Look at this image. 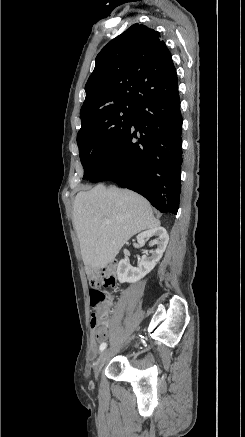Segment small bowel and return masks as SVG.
Returning <instances> with one entry per match:
<instances>
[{"mask_svg": "<svg viewBox=\"0 0 245 437\" xmlns=\"http://www.w3.org/2000/svg\"><path fill=\"white\" fill-rule=\"evenodd\" d=\"M93 327H94V324H93V322H92V320H91V328H92V330H93ZM107 335H108V331H107V330H106V335H105L104 337H102V338L97 339V338H95L94 335H93V336H92V346H93V347H96L98 341H100L101 339L106 338Z\"/></svg>", "mask_w": 245, "mask_h": 437, "instance_id": "small-bowel-1", "label": "small bowel"}]
</instances>
